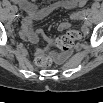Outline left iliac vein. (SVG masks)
<instances>
[{"instance_id":"4c4485c4","label":"left iliac vein","mask_w":103,"mask_h":103,"mask_svg":"<svg viewBox=\"0 0 103 103\" xmlns=\"http://www.w3.org/2000/svg\"><path fill=\"white\" fill-rule=\"evenodd\" d=\"M92 24V20H88V25H91Z\"/></svg>"}]
</instances>
